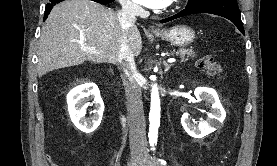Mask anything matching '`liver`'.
<instances>
[{
    "mask_svg": "<svg viewBox=\"0 0 277 166\" xmlns=\"http://www.w3.org/2000/svg\"><path fill=\"white\" fill-rule=\"evenodd\" d=\"M119 18L110 8L91 0H66L53 7L38 44L39 77L44 74L85 61L93 63H121L119 49L123 38ZM133 56L142 50L138 28L132 25L126 32ZM95 48L90 54L83 49Z\"/></svg>",
    "mask_w": 277,
    "mask_h": 166,
    "instance_id": "1",
    "label": "liver"
}]
</instances>
